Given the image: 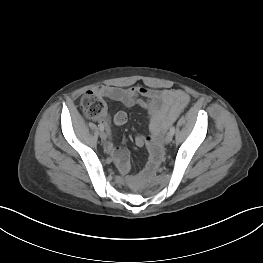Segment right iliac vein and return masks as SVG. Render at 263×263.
Returning a JSON list of instances; mask_svg holds the SVG:
<instances>
[{
    "label": "right iliac vein",
    "mask_w": 263,
    "mask_h": 263,
    "mask_svg": "<svg viewBox=\"0 0 263 263\" xmlns=\"http://www.w3.org/2000/svg\"><path fill=\"white\" fill-rule=\"evenodd\" d=\"M100 138H101L103 141L106 140L107 135H106V133H105L104 131H101V132H100Z\"/></svg>",
    "instance_id": "obj_1"
}]
</instances>
